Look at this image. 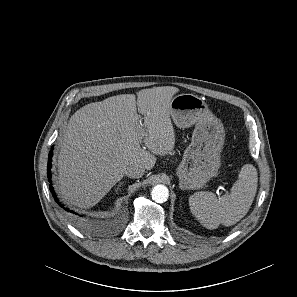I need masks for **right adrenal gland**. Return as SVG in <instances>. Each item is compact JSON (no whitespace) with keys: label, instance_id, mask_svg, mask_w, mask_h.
Masks as SVG:
<instances>
[{"label":"right adrenal gland","instance_id":"right-adrenal-gland-1","mask_svg":"<svg viewBox=\"0 0 297 297\" xmlns=\"http://www.w3.org/2000/svg\"><path fill=\"white\" fill-rule=\"evenodd\" d=\"M122 184H123V182L118 185L117 190L121 187Z\"/></svg>","mask_w":297,"mask_h":297}]
</instances>
